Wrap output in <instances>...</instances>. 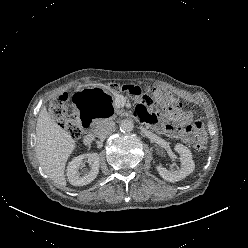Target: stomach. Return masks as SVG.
Segmentation results:
<instances>
[{
	"instance_id": "1",
	"label": "stomach",
	"mask_w": 248,
	"mask_h": 248,
	"mask_svg": "<svg viewBox=\"0 0 248 248\" xmlns=\"http://www.w3.org/2000/svg\"><path fill=\"white\" fill-rule=\"evenodd\" d=\"M70 103L78 115L100 120L110 119L116 111L111 92L103 86L76 88L71 93Z\"/></svg>"
}]
</instances>
